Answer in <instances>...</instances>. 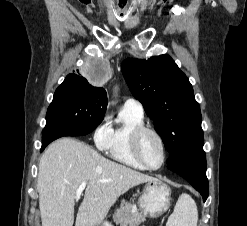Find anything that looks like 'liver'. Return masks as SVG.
<instances>
[{
  "label": "liver",
  "mask_w": 247,
  "mask_h": 226,
  "mask_svg": "<svg viewBox=\"0 0 247 226\" xmlns=\"http://www.w3.org/2000/svg\"><path fill=\"white\" fill-rule=\"evenodd\" d=\"M154 179L106 159L83 142L59 139L49 145L39 162L42 226H73L76 191L83 182L87 187L75 226L100 225L120 195Z\"/></svg>",
  "instance_id": "6515ba94"
}]
</instances>
